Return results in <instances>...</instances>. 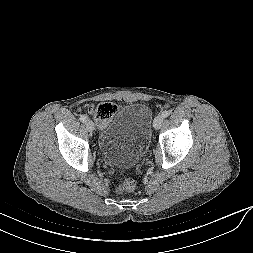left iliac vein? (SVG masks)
I'll return each mask as SVG.
<instances>
[{"label": "left iliac vein", "instance_id": "4c4485c4", "mask_svg": "<svg viewBox=\"0 0 253 253\" xmlns=\"http://www.w3.org/2000/svg\"><path fill=\"white\" fill-rule=\"evenodd\" d=\"M163 116L162 115H158L155 119H154V122H153V127L155 129H160L161 126H162V123H163Z\"/></svg>", "mask_w": 253, "mask_h": 253}]
</instances>
